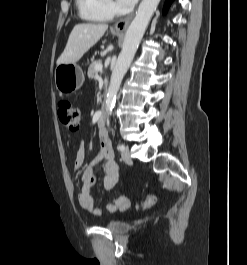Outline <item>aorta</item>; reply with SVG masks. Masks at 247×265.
Masks as SVG:
<instances>
[{
	"instance_id": "1",
	"label": "aorta",
	"mask_w": 247,
	"mask_h": 265,
	"mask_svg": "<svg viewBox=\"0 0 247 265\" xmlns=\"http://www.w3.org/2000/svg\"><path fill=\"white\" fill-rule=\"evenodd\" d=\"M159 2L160 0H142L136 16L127 29L122 51L118 56L111 75L106 99V111L108 114L111 113L113 109L122 79L134 58L148 23Z\"/></svg>"
}]
</instances>
